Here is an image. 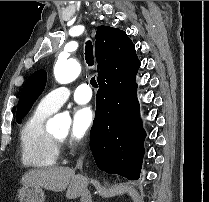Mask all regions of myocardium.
Masks as SVG:
<instances>
[{
    "label": "myocardium",
    "instance_id": "1",
    "mask_svg": "<svg viewBox=\"0 0 209 202\" xmlns=\"http://www.w3.org/2000/svg\"><path fill=\"white\" fill-rule=\"evenodd\" d=\"M53 139L57 143L58 146L64 142L63 138H58L56 136H53Z\"/></svg>",
    "mask_w": 209,
    "mask_h": 202
}]
</instances>
